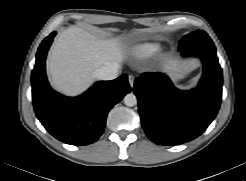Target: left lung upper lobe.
<instances>
[{
  "instance_id": "5c2ea615",
  "label": "left lung upper lobe",
  "mask_w": 246,
  "mask_h": 181,
  "mask_svg": "<svg viewBox=\"0 0 246 181\" xmlns=\"http://www.w3.org/2000/svg\"><path fill=\"white\" fill-rule=\"evenodd\" d=\"M207 40H210V37L207 35L206 32L202 30L194 31L184 36L180 40L179 48H184L186 46L197 44L199 42L207 41Z\"/></svg>"
}]
</instances>
